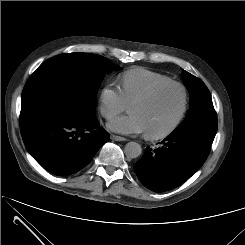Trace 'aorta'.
<instances>
[{"instance_id":"aorta-1","label":"aorta","mask_w":245,"mask_h":245,"mask_svg":"<svg viewBox=\"0 0 245 245\" xmlns=\"http://www.w3.org/2000/svg\"><path fill=\"white\" fill-rule=\"evenodd\" d=\"M142 148L140 144L136 142H128L125 145L124 153L128 158H137L141 155Z\"/></svg>"}]
</instances>
